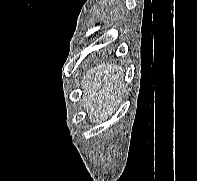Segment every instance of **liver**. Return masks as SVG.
Here are the masks:
<instances>
[{
  "mask_svg": "<svg viewBox=\"0 0 197 181\" xmlns=\"http://www.w3.org/2000/svg\"><path fill=\"white\" fill-rule=\"evenodd\" d=\"M81 83L84 107L90 119H107L117 109L125 91L122 67L101 63L86 72Z\"/></svg>",
  "mask_w": 197,
  "mask_h": 181,
  "instance_id": "6515ba94",
  "label": "liver"
}]
</instances>
